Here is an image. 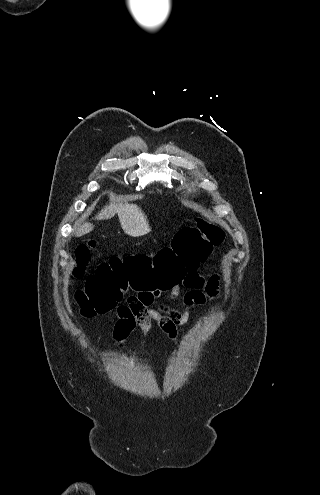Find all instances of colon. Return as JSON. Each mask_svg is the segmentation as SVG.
<instances>
[{
    "instance_id": "colon-1",
    "label": "colon",
    "mask_w": 320,
    "mask_h": 495,
    "mask_svg": "<svg viewBox=\"0 0 320 495\" xmlns=\"http://www.w3.org/2000/svg\"><path fill=\"white\" fill-rule=\"evenodd\" d=\"M223 239L224 231L219 226L200 218L196 226L180 229L171 246L161 249L154 257L115 256L100 264L84 288L76 293V300L86 316L120 310L123 306L117 304L128 289L140 295L145 291L160 293L169 289L181 282L186 273L195 271ZM95 245L91 240L77 248L74 277L84 274L90 250Z\"/></svg>"
}]
</instances>
